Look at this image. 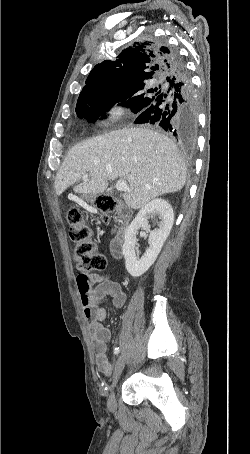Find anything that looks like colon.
Here are the masks:
<instances>
[{"label": "colon", "mask_w": 250, "mask_h": 454, "mask_svg": "<svg viewBox=\"0 0 250 454\" xmlns=\"http://www.w3.org/2000/svg\"><path fill=\"white\" fill-rule=\"evenodd\" d=\"M99 210L108 214L116 209V200L109 195H99L94 199ZM69 224V236L73 243V255L77 267L81 273L86 274L90 271H101L107 266L105 257L99 252L93 232L84 219L82 211L72 206L67 213ZM108 221V218H104ZM92 305H95L93 295H89Z\"/></svg>", "instance_id": "5ec220e1"}]
</instances>
